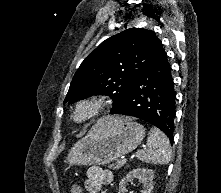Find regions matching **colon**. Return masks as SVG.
Listing matches in <instances>:
<instances>
[{
    "label": "colon",
    "mask_w": 221,
    "mask_h": 193,
    "mask_svg": "<svg viewBox=\"0 0 221 193\" xmlns=\"http://www.w3.org/2000/svg\"><path fill=\"white\" fill-rule=\"evenodd\" d=\"M72 188L75 189V190L77 191V193H81V187H80V185L74 184V185L72 186ZM72 188H71V190H72Z\"/></svg>",
    "instance_id": "obj_1"
}]
</instances>
